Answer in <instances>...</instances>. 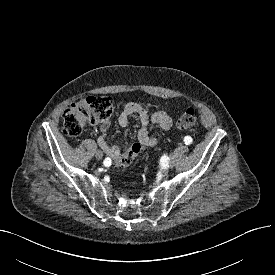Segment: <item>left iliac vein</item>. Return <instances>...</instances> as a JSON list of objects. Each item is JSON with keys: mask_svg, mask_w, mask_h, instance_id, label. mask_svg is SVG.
Wrapping results in <instances>:
<instances>
[{"mask_svg": "<svg viewBox=\"0 0 275 275\" xmlns=\"http://www.w3.org/2000/svg\"><path fill=\"white\" fill-rule=\"evenodd\" d=\"M173 155H171V158H172ZM174 166V163L172 160H169L164 166H163V170L164 171H167L169 170L170 168H172Z\"/></svg>", "mask_w": 275, "mask_h": 275, "instance_id": "obj_1", "label": "left iliac vein"}]
</instances>
